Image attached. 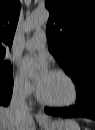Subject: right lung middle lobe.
I'll use <instances>...</instances> for the list:
<instances>
[{
	"label": "right lung middle lobe",
	"mask_w": 95,
	"mask_h": 130,
	"mask_svg": "<svg viewBox=\"0 0 95 130\" xmlns=\"http://www.w3.org/2000/svg\"><path fill=\"white\" fill-rule=\"evenodd\" d=\"M12 82L13 77L10 62L4 61L3 57H0V86L8 85Z\"/></svg>",
	"instance_id": "obj_1"
}]
</instances>
